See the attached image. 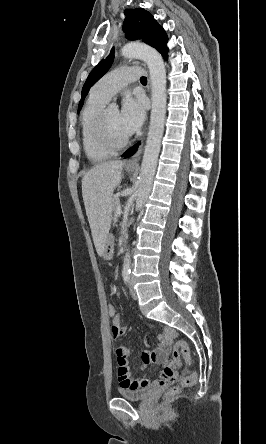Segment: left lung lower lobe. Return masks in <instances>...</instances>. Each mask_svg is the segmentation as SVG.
Wrapping results in <instances>:
<instances>
[{"label": "left lung lower lobe", "instance_id": "left-lung-lower-lobe-1", "mask_svg": "<svg viewBox=\"0 0 266 444\" xmlns=\"http://www.w3.org/2000/svg\"><path fill=\"white\" fill-rule=\"evenodd\" d=\"M137 147H138V146H136L135 148H133L130 152H128V153L122 155V157L128 158V157L132 156V155L136 152Z\"/></svg>", "mask_w": 266, "mask_h": 444}]
</instances>
